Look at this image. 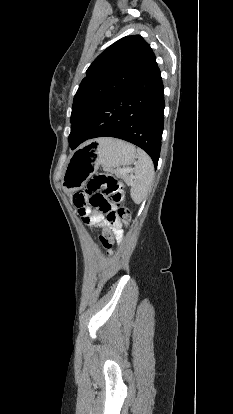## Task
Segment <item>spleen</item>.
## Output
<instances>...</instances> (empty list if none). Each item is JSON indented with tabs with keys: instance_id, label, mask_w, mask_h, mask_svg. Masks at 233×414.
Segmentation results:
<instances>
[{
	"instance_id": "spleen-1",
	"label": "spleen",
	"mask_w": 233,
	"mask_h": 414,
	"mask_svg": "<svg viewBox=\"0 0 233 414\" xmlns=\"http://www.w3.org/2000/svg\"><path fill=\"white\" fill-rule=\"evenodd\" d=\"M137 162L134 167V177L130 194L136 204H140L147 196L154 180V165L149 155L142 149H137Z\"/></svg>"
}]
</instances>
